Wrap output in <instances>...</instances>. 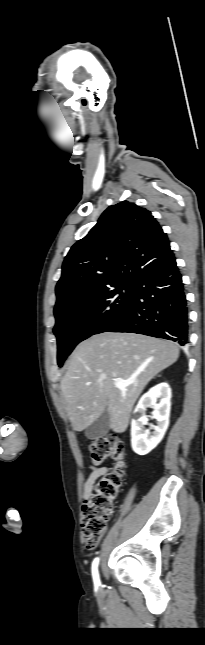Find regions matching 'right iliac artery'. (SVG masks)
I'll return each mask as SVG.
<instances>
[{"mask_svg": "<svg viewBox=\"0 0 205 645\" xmlns=\"http://www.w3.org/2000/svg\"><path fill=\"white\" fill-rule=\"evenodd\" d=\"M98 564H99V558L97 557L92 562V576L96 586H99L100 584V579L98 574Z\"/></svg>", "mask_w": 205, "mask_h": 645, "instance_id": "right-iliac-artery-1", "label": "right iliac artery"}]
</instances>
